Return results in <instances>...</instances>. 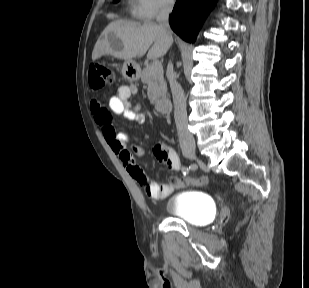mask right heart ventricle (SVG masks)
<instances>
[{"label": "right heart ventricle", "instance_id": "1", "mask_svg": "<svg viewBox=\"0 0 309 288\" xmlns=\"http://www.w3.org/2000/svg\"><path fill=\"white\" fill-rule=\"evenodd\" d=\"M132 13H133L134 15H139L138 9H137L136 5H134V7L132 8ZM139 16H140V15H139Z\"/></svg>", "mask_w": 309, "mask_h": 288}]
</instances>
